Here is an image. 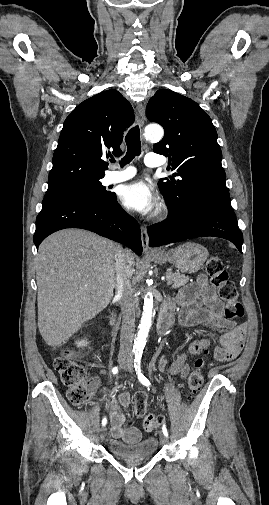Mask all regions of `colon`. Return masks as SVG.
I'll return each instance as SVG.
<instances>
[{
	"instance_id": "5ec220e1",
	"label": "colon",
	"mask_w": 269,
	"mask_h": 505,
	"mask_svg": "<svg viewBox=\"0 0 269 505\" xmlns=\"http://www.w3.org/2000/svg\"><path fill=\"white\" fill-rule=\"evenodd\" d=\"M206 274L211 284L218 289L219 297L226 303L225 317L229 320L240 318L244 315V308L238 301V293L233 281L230 280L224 263L218 256H211L206 261ZM207 352V351H206ZM205 361L198 358L194 368L189 374L187 382V399L191 400L203 384V370ZM54 368L60 376L62 383L68 388V401L78 407H85L89 399L90 390L85 381L86 372L75 359V354L70 349H65L55 360ZM147 397L145 393L138 392L135 396V412L144 417V428L147 431L155 430L162 422V416L146 414Z\"/></svg>"
}]
</instances>
